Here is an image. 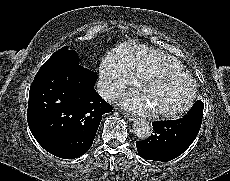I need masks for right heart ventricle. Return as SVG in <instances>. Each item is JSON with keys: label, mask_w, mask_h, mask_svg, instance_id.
I'll use <instances>...</instances> for the list:
<instances>
[{"label": "right heart ventricle", "mask_w": 230, "mask_h": 181, "mask_svg": "<svg viewBox=\"0 0 230 181\" xmlns=\"http://www.w3.org/2000/svg\"><path fill=\"white\" fill-rule=\"evenodd\" d=\"M108 59L112 65L128 69L141 79L160 70L184 71L179 62L163 52L134 42L120 44L108 54Z\"/></svg>", "instance_id": "right-heart-ventricle-1"}]
</instances>
